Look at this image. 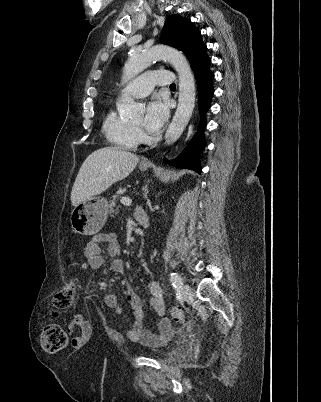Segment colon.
<instances>
[{
    "mask_svg": "<svg viewBox=\"0 0 321 402\" xmlns=\"http://www.w3.org/2000/svg\"><path fill=\"white\" fill-rule=\"evenodd\" d=\"M75 292L73 287L59 290L53 297L51 317H56L60 311L68 310L74 306ZM172 317L183 323L186 319L184 312L179 308L171 309ZM69 341L68 334L57 324L49 321L41 329L40 345L47 354H55L66 348Z\"/></svg>",
    "mask_w": 321,
    "mask_h": 402,
    "instance_id": "5ec220e1",
    "label": "colon"
}]
</instances>
